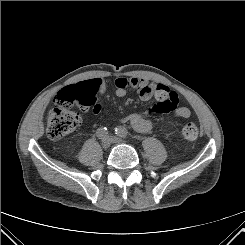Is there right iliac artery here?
Returning <instances> with one entry per match:
<instances>
[{
  "instance_id": "obj_1",
  "label": "right iliac artery",
  "mask_w": 245,
  "mask_h": 245,
  "mask_svg": "<svg viewBox=\"0 0 245 245\" xmlns=\"http://www.w3.org/2000/svg\"><path fill=\"white\" fill-rule=\"evenodd\" d=\"M96 135H97V137L100 138V139L106 138L107 135H108V130H107V128H106V127H101V128H99V129L97 130V132H96Z\"/></svg>"
}]
</instances>
